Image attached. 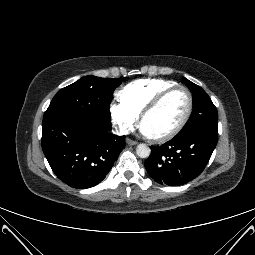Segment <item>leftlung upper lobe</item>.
<instances>
[{"instance_id":"left-lung-upper-lobe-1","label":"left lung upper lobe","mask_w":255,"mask_h":255,"mask_svg":"<svg viewBox=\"0 0 255 255\" xmlns=\"http://www.w3.org/2000/svg\"><path fill=\"white\" fill-rule=\"evenodd\" d=\"M182 80L193 94V111L190 119L177 135L184 136L199 132L218 134V114L210 97L200 86L186 78Z\"/></svg>"}]
</instances>
